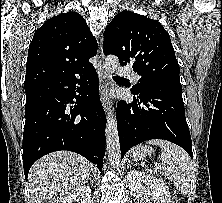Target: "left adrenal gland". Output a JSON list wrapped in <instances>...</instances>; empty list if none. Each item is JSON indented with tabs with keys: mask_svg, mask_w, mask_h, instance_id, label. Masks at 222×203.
I'll return each mask as SVG.
<instances>
[{
	"mask_svg": "<svg viewBox=\"0 0 222 203\" xmlns=\"http://www.w3.org/2000/svg\"><path fill=\"white\" fill-rule=\"evenodd\" d=\"M133 165V162L131 161V159L128 160V164L127 166Z\"/></svg>",
	"mask_w": 222,
	"mask_h": 203,
	"instance_id": "1",
	"label": "left adrenal gland"
}]
</instances>
